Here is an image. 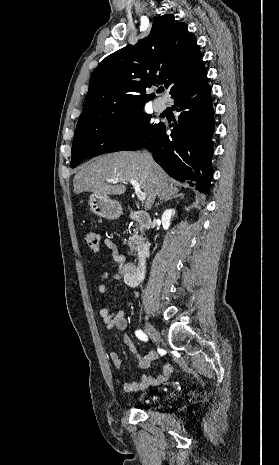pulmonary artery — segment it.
Instances as JSON below:
<instances>
[{"label": "pulmonary artery", "mask_w": 279, "mask_h": 465, "mask_svg": "<svg viewBox=\"0 0 279 465\" xmlns=\"http://www.w3.org/2000/svg\"><path fill=\"white\" fill-rule=\"evenodd\" d=\"M154 108L157 112H162L166 109V102L163 99H156L154 101Z\"/></svg>", "instance_id": "obj_1"}]
</instances>
